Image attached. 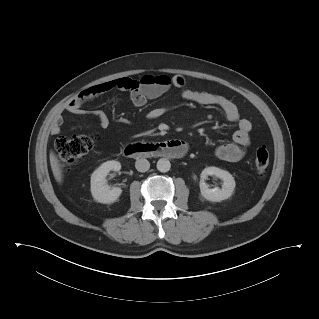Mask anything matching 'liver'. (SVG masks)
Returning a JSON list of instances; mask_svg holds the SVG:
<instances>
[{"label":"liver","mask_w":319,"mask_h":319,"mask_svg":"<svg viewBox=\"0 0 319 319\" xmlns=\"http://www.w3.org/2000/svg\"><path fill=\"white\" fill-rule=\"evenodd\" d=\"M49 157H50V165H51L54 178L58 183H61L63 179V173L59 164V160L57 159L53 151L50 152Z\"/></svg>","instance_id":"6515ba94"}]
</instances>
